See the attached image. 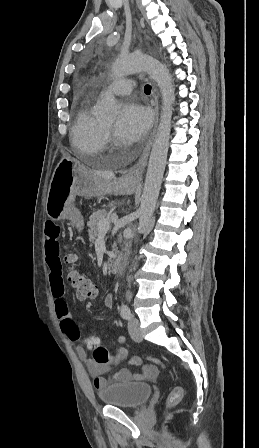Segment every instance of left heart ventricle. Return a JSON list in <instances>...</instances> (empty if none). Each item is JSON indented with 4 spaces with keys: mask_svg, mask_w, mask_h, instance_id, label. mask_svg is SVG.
I'll return each mask as SVG.
<instances>
[{
    "mask_svg": "<svg viewBox=\"0 0 259 448\" xmlns=\"http://www.w3.org/2000/svg\"><path fill=\"white\" fill-rule=\"evenodd\" d=\"M104 124H105V126H107L110 129H112V131L114 132L116 138L118 139L119 136H118L117 131H116V125H115L114 120L108 121V122H104Z\"/></svg>",
    "mask_w": 259,
    "mask_h": 448,
    "instance_id": "1",
    "label": "left heart ventricle"
}]
</instances>
